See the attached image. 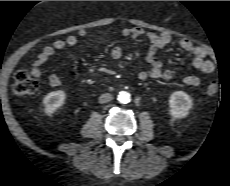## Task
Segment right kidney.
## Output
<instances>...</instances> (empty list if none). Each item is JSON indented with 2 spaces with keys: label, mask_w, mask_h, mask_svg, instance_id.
I'll use <instances>...</instances> for the list:
<instances>
[{
  "label": "right kidney",
  "mask_w": 230,
  "mask_h": 186,
  "mask_svg": "<svg viewBox=\"0 0 230 186\" xmlns=\"http://www.w3.org/2000/svg\"><path fill=\"white\" fill-rule=\"evenodd\" d=\"M65 98L66 94L64 91L58 90L50 92L43 99V104L45 107L44 112L47 115H52L64 104Z\"/></svg>",
  "instance_id": "obj_1"
}]
</instances>
